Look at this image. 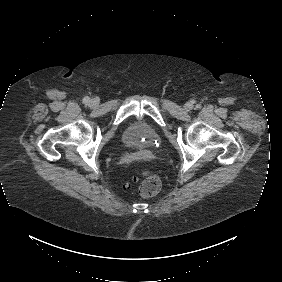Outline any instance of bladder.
Wrapping results in <instances>:
<instances>
[{"instance_id": "bladder-1", "label": "bladder", "mask_w": 282, "mask_h": 282, "mask_svg": "<svg viewBox=\"0 0 282 282\" xmlns=\"http://www.w3.org/2000/svg\"><path fill=\"white\" fill-rule=\"evenodd\" d=\"M123 144L135 150H150L160 143L156 128L145 120L130 122L122 133Z\"/></svg>"}]
</instances>
